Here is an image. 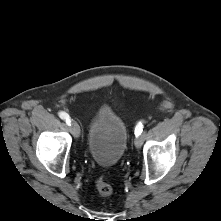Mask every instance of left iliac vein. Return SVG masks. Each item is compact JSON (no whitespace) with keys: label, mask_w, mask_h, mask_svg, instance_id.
I'll use <instances>...</instances> for the list:
<instances>
[{"label":"left iliac vein","mask_w":221,"mask_h":221,"mask_svg":"<svg viewBox=\"0 0 221 221\" xmlns=\"http://www.w3.org/2000/svg\"><path fill=\"white\" fill-rule=\"evenodd\" d=\"M142 144H143L142 136H137V137L135 138V146H136L137 148H140V147L142 146Z\"/></svg>","instance_id":"left-iliac-vein-1"}]
</instances>
